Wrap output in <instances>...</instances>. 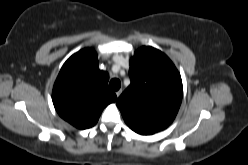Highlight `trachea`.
Listing matches in <instances>:
<instances>
[{
	"mask_svg": "<svg viewBox=\"0 0 248 165\" xmlns=\"http://www.w3.org/2000/svg\"><path fill=\"white\" fill-rule=\"evenodd\" d=\"M111 90L117 91L121 87V82L118 79H112L109 83Z\"/></svg>",
	"mask_w": 248,
	"mask_h": 165,
	"instance_id": "obj_1",
	"label": "trachea"
}]
</instances>
